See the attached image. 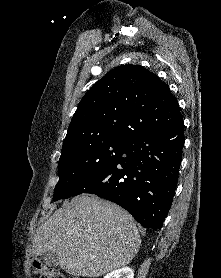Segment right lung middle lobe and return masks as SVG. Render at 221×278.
<instances>
[{"label":"right lung middle lobe","instance_id":"1","mask_svg":"<svg viewBox=\"0 0 221 278\" xmlns=\"http://www.w3.org/2000/svg\"><path fill=\"white\" fill-rule=\"evenodd\" d=\"M128 143L123 138H98L62 151L53 200L71 197L80 186L121 158Z\"/></svg>","mask_w":221,"mask_h":278}]
</instances>
